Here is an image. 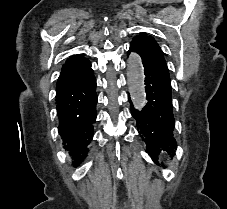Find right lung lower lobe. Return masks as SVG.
I'll return each instance as SVG.
<instances>
[{
  "label": "right lung lower lobe",
  "instance_id": "98d812e1",
  "mask_svg": "<svg viewBox=\"0 0 227 209\" xmlns=\"http://www.w3.org/2000/svg\"><path fill=\"white\" fill-rule=\"evenodd\" d=\"M60 83L65 86L56 91L59 134L64 148L80 162L88 153L97 115L96 79L90 62L72 66L65 63L57 81Z\"/></svg>",
  "mask_w": 227,
  "mask_h": 209
}]
</instances>
